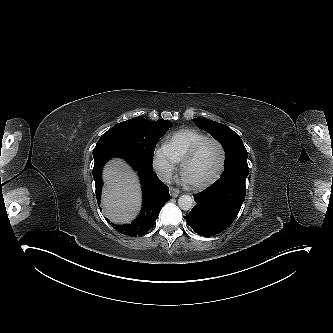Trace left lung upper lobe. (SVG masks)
Here are the masks:
<instances>
[{
    "instance_id": "1",
    "label": "left lung upper lobe",
    "mask_w": 333,
    "mask_h": 333,
    "mask_svg": "<svg viewBox=\"0 0 333 333\" xmlns=\"http://www.w3.org/2000/svg\"><path fill=\"white\" fill-rule=\"evenodd\" d=\"M200 129L208 132L223 146L226 155V169L221 181L245 184L248 176L247 151L239 135L226 125L205 118H194Z\"/></svg>"
}]
</instances>
